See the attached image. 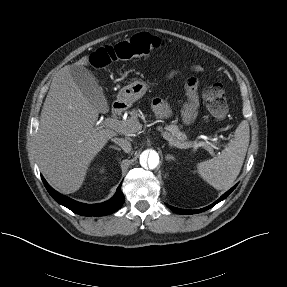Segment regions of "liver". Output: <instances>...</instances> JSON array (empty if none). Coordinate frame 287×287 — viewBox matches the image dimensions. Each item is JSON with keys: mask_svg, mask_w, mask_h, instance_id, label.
Returning <instances> with one entry per match:
<instances>
[{"mask_svg": "<svg viewBox=\"0 0 287 287\" xmlns=\"http://www.w3.org/2000/svg\"><path fill=\"white\" fill-rule=\"evenodd\" d=\"M89 56L74 65H87ZM99 111L74 83L70 66L54 76L36 134L37 159L51 186L70 194L80 189L95 156L117 133L94 127Z\"/></svg>", "mask_w": 287, "mask_h": 287, "instance_id": "obj_1", "label": "liver"}]
</instances>
